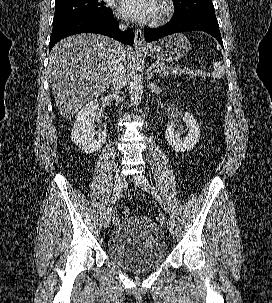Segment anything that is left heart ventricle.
<instances>
[{
  "label": "left heart ventricle",
  "mask_w": 272,
  "mask_h": 303,
  "mask_svg": "<svg viewBox=\"0 0 272 303\" xmlns=\"http://www.w3.org/2000/svg\"><path fill=\"white\" fill-rule=\"evenodd\" d=\"M160 12H161V5L159 4L157 16L160 14Z\"/></svg>",
  "instance_id": "left-heart-ventricle-1"
}]
</instances>
